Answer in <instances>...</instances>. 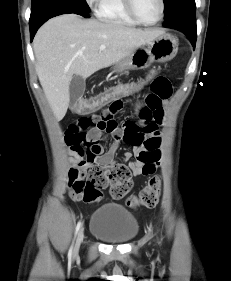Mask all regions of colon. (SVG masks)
<instances>
[{
	"label": "colon",
	"instance_id": "1",
	"mask_svg": "<svg viewBox=\"0 0 231 281\" xmlns=\"http://www.w3.org/2000/svg\"><path fill=\"white\" fill-rule=\"evenodd\" d=\"M156 75L157 71L153 70L137 80L117 83L96 96L79 102L76 106V111L78 113H89L113 101L133 96L142 91ZM108 185L114 198H122L132 187L131 172L124 165H117L110 169L94 167L85 182H74L72 190L80 200L92 203L102 197V190ZM160 190V177L154 176L138 196H132L128 199L127 205L133 208L140 205L152 208L158 203Z\"/></svg>",
	"mask_w": 231,
	"mask_h": 281
}]
</instances>
